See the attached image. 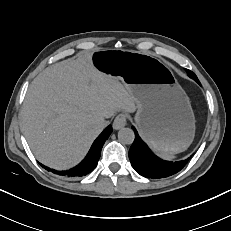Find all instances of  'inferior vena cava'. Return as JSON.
<instances>
[{
    "mask_svg": "<svg viewBox=\"0 0 231 231\" xmlns=\"http://www.w3.org/2000/svg\"><path fill=\"white\" fill-rule=\"evenodd\" d=\"M108 124H109V122L106 121V120H102V121H101V127H102V128L106 127Z\"/></svg>",
    "mask_w": 231,
    "mask_h": 231,
    "instance_id": "inferior-vena-cava-1",
    "label": "inferior vena cava"
}]
</instances>
